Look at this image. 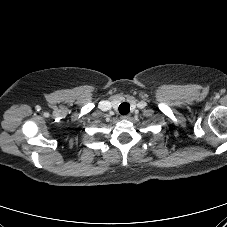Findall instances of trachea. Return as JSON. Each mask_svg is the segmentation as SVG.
Instances as JSON below:
<instances>
[{
  "mask_svg": "<svg viewBox=\"0 0 227 227\" xmlns=\"http://www.w3.org/2000/svg\"><path fill=\"white\" fill-rule=\"evenodd\" d=\"M129 111H130V105L127 102H123V103L120 104V106H119V112L122 115L128 114Z\"/></svg>",
  "mask_w": 227,
  "mask_h": 227,
  "instance_id": "3493384b",
  "label": "trachea"
}]
</instances>
